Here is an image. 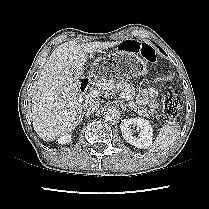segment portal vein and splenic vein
<instances>
[{"mask_svg": "<svg viewBox=\"0 0 209 209\" xmlns=\"http://www.w3.org/2000/svg\"><path fill=\"white\" fill-rule=\"evenodd\" d=\"M101 94H102L101 90L93 89V90L90 91L89 96L95 98V97L100 96ZM120 97L125 99L127 96L123 91H121L120 92Z\"/></svg>", "mask_w": 209, "mask_h": 209, "instance_id": "portal-vein-and-splenic-vein-1", "label": "portal vein and splenic vein"}]
</instances>
